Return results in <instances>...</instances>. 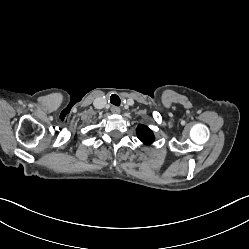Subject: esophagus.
<instances>
[{
	"label": "esophagus",
	"instance_id": "esophagus-1",
	"mask_svg": "<svg viewBox=\"0 0 249 249\" xmlns=\"http://www.w3.org/2000/svg\"><path fill=\"white\" fill-rule=\"evenodd\" d=\"M111 111H112V113H114V114H119V113H120V108H119V107H116V106H112V107H111Z\"/></svg>",
	"mask_w": 249,
	"mask_h": 249
}]
</instances>
